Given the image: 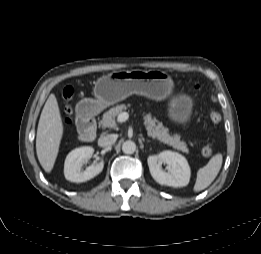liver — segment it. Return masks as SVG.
<instances>
[{
  "label": "liver",
  "mask_w": 261,
  "mask_h": 254,
  "mask_svg": "<svg viewBox=\"0 0 261 254\" xmlns=\"http://www.w3.org/2000/svg\"><path fill=\"white\" fill-rule=\"evenodd\" d=\"M63 132L57 99L54 94H50L41 112L36 135L37 157L47 173L54 167Z\"/></svg>",
  "instance_id": "6515ba94"
}]
</instances>
